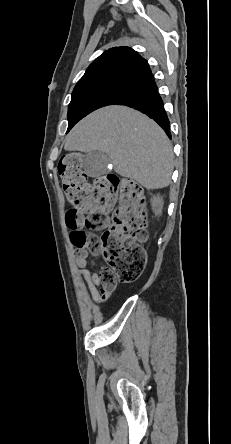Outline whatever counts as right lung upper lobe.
Segmentation results:
<instances>
[{"mask_svg": "<svg viewBox=\"0 0 231 444\" xmlns=\"http://www.w3.org/2000/svg\"><path fill=\"white\" fill-rule=\"evenodd\" d=\"M153 80L147 61L129 47L105 51L86 70L74 89L116 84L129 91Z\"/></svg>", "mask_w": 231, "mask_h": 444, "instance_id": "cb5924a9", "label": "right lung upper lobe"}]
</instances>
